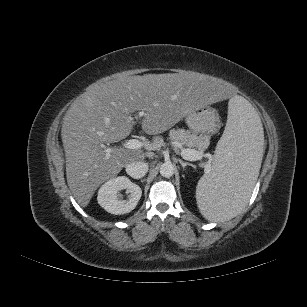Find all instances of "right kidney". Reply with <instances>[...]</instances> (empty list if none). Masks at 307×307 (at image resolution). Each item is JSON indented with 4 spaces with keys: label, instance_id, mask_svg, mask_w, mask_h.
I'll list each match as a JSON object with an SVG mask.
<instances>
[{
    "label": "right kidney",
    "instance_id": "obj_1",
    "mask_svg": "<svg viewBox=\"0 0 307 307\" xmlns=\"http://www.w3.org/2000/svg\"><path fill=\"white\" fill-rule=\"evenodd\" d=\"M126 189L130 193L128 200L120 197V191ZM142 195L141 188L127 177L119 176L105 182L98 191L97 200L107 212L121 215L131 212L138 204Z\"/></svg>",
    "mask_w": 307,
    "mask_h": 307
}]
</instances>
